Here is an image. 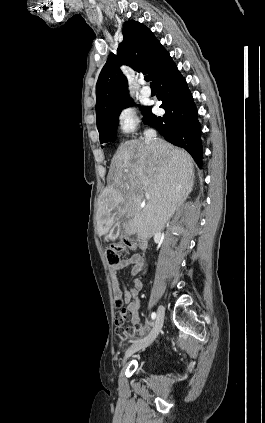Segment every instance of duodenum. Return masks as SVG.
Returning <instances> with one entry per match:
<instances>
[{
  "mask_svg": "<svg viewBox=\"0 0 265 423\" xmlns=\"http://www.w3.org/2000/svg\"><path fill=\"white\" fill-rule=\"evenodd\" d=\"M139 245L141 246V248L145 247V243L142 239H138Z\"/></svg>",
  "mask_w": 265,
  "mask_h": 423,
  "instance_id": "duodenum-1",
  "label": "duodenum"
}]
</instances>
